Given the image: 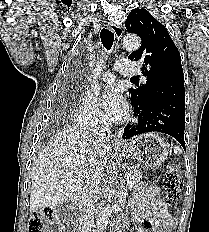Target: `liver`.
I'll return each mask as SVG.
<instances>
[{"instance_id":"obj_1","label":"liver","mask_w":209,"mask_h":232,"mask_svg":"<svg viewBox=\"0 0 209 232\" xmlns=\"http://www.w3.org/2000/svg\"><path fill=\"white\" fill-rule=\"evenodd\" d=\"M111 146L76 127L64 128L36 158L32 167L30 212L62 204L82 193L92 172L101 174Z\"/></svg>"}]
</instances>
